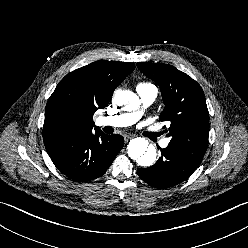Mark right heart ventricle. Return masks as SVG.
Instances as JSON below:
<instances>
[{
	"label": "right heart ventricle",
	"instance_id": "right-heart-ventricle-1",
	"mask_svg": "<svg viewBox=\"0 0 248 248\" xmlns=\"http://www.w3.org/2000/svg\"><path fill=\"white\" fill-rule=\"evenodd\" d=\"M149 85H151V84H148V83H139V84L137 85V88H144V87H147V86H149Z\"/></svg>",
	"mask_w": 248,
	"mask_h": 248
}]
</instances>
